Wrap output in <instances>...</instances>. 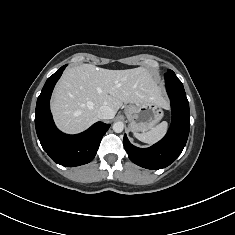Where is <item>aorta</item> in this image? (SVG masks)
<instances>
[{
	"label": "aorta",
	"mask_w": 235,
	"mask_h": 235,
	"mask_svg": "<svg viewBox=\"0 0 235 235\" xmlns=\"http://www.w3.org/2000/svg\"><path fill=\"white\" fill-rule=\"evenodd\" d=\"M112 128L115 133H121L124 129V124L122 122H116Z\"/></svg>",
	"instance_id": "762f6f07"
}]
</instances>
